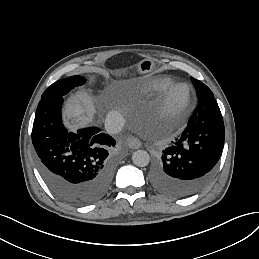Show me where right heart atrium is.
I'll use <instances>...</instances> for the list:
<instances>
[{
  "label": "right heart atrium",
  "instance_id": "1",
  "mask_svg": "<svg viewBox=\"0 0 259 259\" xmlns=\"http://www.w3.org/2000/svg\"><path fill=\"white\" fill-rule=\"evenodd\" d=\"M126 101L128 102V105H129V110L131 108V103L126 99ZM127 117V116H126ZM126 119V118H125Z\"/></svg>",
  "mask_w": 259,
  "mask_h": 259
}]
</instances>
